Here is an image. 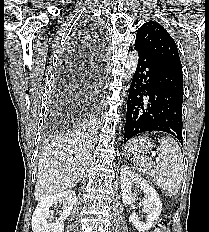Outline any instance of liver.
Wrapping results in <instances>:
<instances>
[{
    "label": "liver",
    "instance_id": "obj_1",
    "mask_svg": "<svg viewBox=\"0 0 209 232\" xmlns=\"http://www.w3.org/2000/svg\"><path fill=\"white\" fill-rule=\"evenodd\" d=\"M91 133V125H78L55 137L43 150L38 161L35 200L40 201L77 185L88 167Z\"/></svg>",
    "mask_w": 209,
    "mask_h": 232
}]
</instances>
